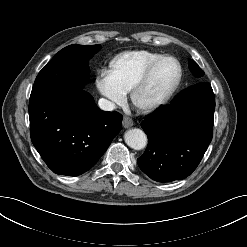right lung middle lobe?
Returning a JSON list of instances; mask_svg holds the SVG:
<instances>
[{"mask_svg": "<svg viewBox=\"0 0 247 247\" xmlns=\"http://www.w3.org/2000/svg\"><path fill=\"white\" fill-rule=\"evenodd\" d=\"M101 45H69L60 50L39 72L31 94L47 88L78 91L89 77L88 60Z\"/></svg>", "mask_w": 247, "mask_h": 247, "instance_id": "1", "label": "right lung middle lobe"}]
</instances>
